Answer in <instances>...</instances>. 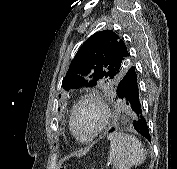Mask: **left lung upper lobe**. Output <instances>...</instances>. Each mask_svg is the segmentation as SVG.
Masks as SVG:
<instances>
[{
    "mask_svg": "<svg viewBox=\"0 0 177 169\" xmlns=\"http://www.w3.org/2000/svg\"><path fill=\"white\" fill-rule=\"evenodd\" d=\"M130 66V53L123 39L111 30L97 32L79 48L62 86L69 90L106 84L116 89Z\"/></svg>",
    "mask_w": 177,
    "mask_h": 169,
    "instance_id": "left-lung-upper-lobe-1",
    "label": "left lung upper lobe"
}]
</instances>
